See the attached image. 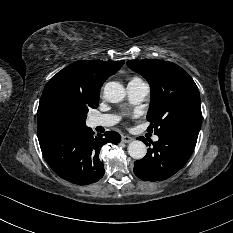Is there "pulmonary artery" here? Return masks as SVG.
Wrapping results in <instances>:
<instances>
[{"label": "pulmonary artery", "instance_id": "pulmonary-artery-1", "mask_svg": "<svg viewBox=\"0 0 233 233\" xmlns=\"http://www.w3.org/2000/svg\"><path fill=\"white\" fill-rule=\"evenodd\" d=\"M149 92L148 85L142 80H131L127 84V94L131 102L137 104L142 102ZM117 117L114 115H98L91 119L93 126L109 127L117 122ZM158 136H154L153 140L158 141Z\"/></svg>", "mask_w": 233, "mask_h": 233}]
</instances>
